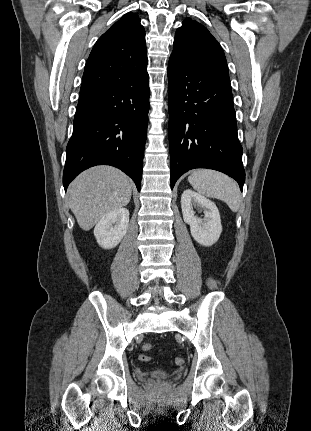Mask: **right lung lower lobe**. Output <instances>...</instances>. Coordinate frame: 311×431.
Returning a JSON list of instances; mask_svg holds the SVG:
<instances>
[{
    "instance_id": "right-lung-lower-lobe-1",
    "label": "right lung lower lobe",
    "mask_w": 311,
    "mask_h": 431,
    "mask_svg": "<svg viewBox=\"0 0 311 431\" xmlns=\"http://www.w3.org/2000/svg\"><path fill=\"white\" fill-rule=\"evenodd\" d=\"M149 94L146 69L131 80L80 93L66 148L65 191L80 172L101 164L121 169L140 191Z\"/></svg>"
}]
</instances>
